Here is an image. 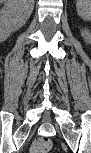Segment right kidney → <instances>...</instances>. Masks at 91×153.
<instances>
[{"instance_id":"ca27d5eb","label":"right kidney","mask_w":91,"mask_h":153,"mask_svg":"<svg viewBox=\"0 0 91 153\" xmlns=\"http://www.w3.org/2000/svg\"><path fill=\"white\" fill-rule=\"evenodd\" d=\"M27 0H7L0 10V39L5 41L12 32L21 28L30 17L33 7Z\"/></svg>"}]
</instances>
